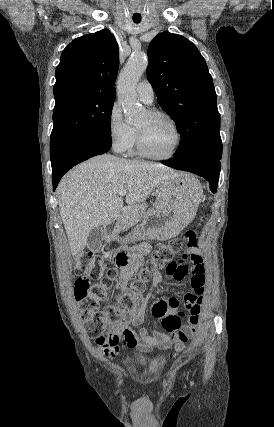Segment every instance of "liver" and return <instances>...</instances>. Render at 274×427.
Returning a JSON list of instances; mask_svg holds the SVG:
<instances>
[{
	"label": "liver",
	"instance_id": "6515ba94",
	"mask_svg": "<svg viewBox=\"0 0 274 427\" xmlns=\"http://www.w3.org/2000/svg\"><path fill=\"white\" fill-rule=\"evenodd\" d=\"M179 172L148 162L122 160L110 154L95 156L63 176L57 198L72 255L83 251L89 231L112 223L123 208L118 190H126V204L145 202L164 180H175Z\"/></svg>",
	"mask_w": 274,
	"mask_h": 427
}]
</instances>
